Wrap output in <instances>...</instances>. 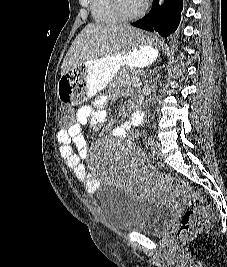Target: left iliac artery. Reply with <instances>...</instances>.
Returning a JSON list of instances; mask_svg holds the SVG:
<instances>
[{"label": "left iliac artery", "mask_w": 227, "mask_h": 267, "mask_svg": "<svg viewBox=\"0 0 227 267\" xmlns=\"http://www.w3.org/2000/svg\"><path fill=\"white\" fill-rule=\"evenodd\" d=\"M153 142H154V139L152 136H149L148 137V145L152 146L153 145Z\"/></svg>", "instance_id": "1"}]
</instances>
